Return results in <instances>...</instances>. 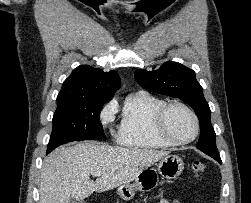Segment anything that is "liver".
Masks as SVG:
<instances>
[{
  "instance_id": "liver-1",
  "label": "liver",
  "mask_w": 251,
  "mask_h": 203,
  "mask_svg": "<svg viewBox=\"0 0 251 203\" xmlns=\"http://www.w3.org/2000/svg\"><path fill=\"white\" fill-rule=\"evenodd\" d=\"M169 155L168 151L114 147L82 142L59 147L45 158L41 169L40 203H69L93 192L128 184L146 168ZM101 172L96 181L90 175Z\"/></svg>"
}]
</instances>
